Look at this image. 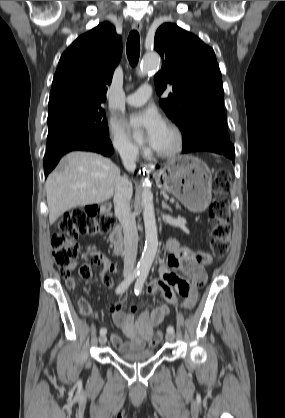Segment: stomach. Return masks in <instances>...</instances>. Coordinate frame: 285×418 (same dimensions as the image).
<instances>
[{"mask_svg":"<svg viewBox=\"0 0 285 418\" xmlns=\"http://www.w3.org/2000/svg\"><path fill=\"white\" fill-rule=\"evenodd\" d=\"M156 181L160 189L174 195L192 212L204 211L211 202V171L195 156L172 159L156 173Z\"/></svg>","mask_w":285,"mask_h":418,"instance_id":"stomach-1","label":"stomach"}]
</instances>
